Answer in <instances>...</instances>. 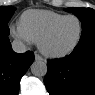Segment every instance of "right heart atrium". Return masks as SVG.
Wrapping results in <instances>:
<instances>
[{
	"label": "right heart atrium",
	"instance_id": "1",
	"mask_svg": "<svg viewBox=\"0 0 95 95\" xmlns=\"http://www.w3.org/2000/svg\"><path fill=\"white\" fill-rule=\"evenodd\" d=\"M10 31L12 36L22 44L28 45L32 43V40L25 33V31L21 28L20 24L11 25Z\"/></svg>",
	"mask_w": 95,
	"mask_h": 95
}]
</instances>
